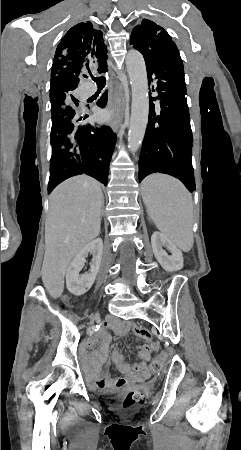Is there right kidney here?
<instances>
[{
	"instance_id": "right-kidney-1",
	"label": "right kidney",
	"mask_w": 241,
	"mask_h": 450,
	"mask_svg": "<svg viewBox=\"0 0 241 450\" xmlns=\"http://www.w3.org/2000/svg\"><path fill=\"white\" fill-rule=\"evenodd\" d=\"M103 242L101 238H96L89 242L87 246H84L80 252H77L74 260H72L66 274V286L67 290L74 294V296H82L90 290L93 286L96 276L99 272L101 260H102ZM88 254H92V262L90 264V274H84L80 276Z\"/></svg>"
}]
</instances>
